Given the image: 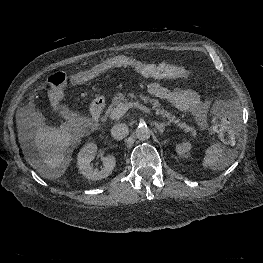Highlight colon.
I'll use <instances>...</instances> for the list:
<instances>
[{"mask_svg":"<svg viewBox=\"0 0 263 263\" xmlns=\"http://www.w3.org/2000/svg\"><path fill=\"white\" fill-rule=\"evenodd\" d=\"M128 68L136 73L151 78H182L188 79L189 71L179 64L169 63H143L134 58L117 55L109 57L90 68L67 75L63 71H57L49 77V87L54 102L58 103L63 96L64 89L68 85H76L89 81L98 75L114 69ZM213 130L217 132L224 144H233L236 139V131L231 124L230 118L221 111H215L212 115Z\"/></svg>","mask_w":263,"mask_h":263,"instance_id":"5ec220e1","label":"colon"}]
</instances>
